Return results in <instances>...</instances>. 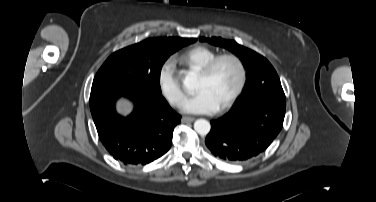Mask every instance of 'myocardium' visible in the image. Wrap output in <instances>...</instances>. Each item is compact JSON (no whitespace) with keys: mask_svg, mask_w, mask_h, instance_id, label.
I'll return each instance as SVG.
<instances>
[{"mask_svg":"<svg viewBox=\"0 0 376 202\" xmlns=\"http://www.w3.org/2000/svg\"><path fill=\"white\" fill-rule=\"evenodd\" d=\"M224 60H230V61L235 63V65L237 66V69H238V73H239V80H238V84H237L235 90L233 91V93L231 94V96L227 99V101L223 105H221L218 108V111H220V112L229 109L235 103V101L240 96V94L242 93V91H243V89L246 85L247 68H246L244 61L238 55L233 54V53L220 54V55H217L212 60H210L198 72V74L202 77H209V76L212 75V73L214 72L217 65Z\"/></svg>","mask_w":376,"mask_h":202,"instance_id":"f54148a6","label":"myocardium"}]
</instances>
